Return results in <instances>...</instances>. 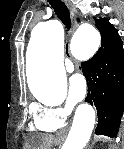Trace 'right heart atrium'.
<instances>
[{
    "instance_id": "right-heart-atrium-1",
    "label": "right heart atrium",
    "mask_w": 124,
    "mask_h": 149,
    "mask_svg": "<svg viewBox=\"0 0 124 149\" xmlns=\"http://www.w3.org/2000/svg\"><path fill=\"white\" fill-rule=\"evenodd\" d=\"M34 122L59 128L64 124L65 118L70 113L69 107H35Z\"/></svg>"
}]
</instances>
